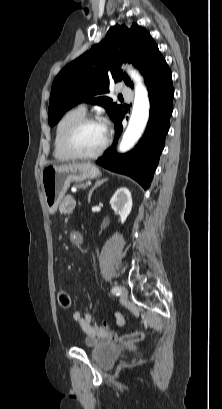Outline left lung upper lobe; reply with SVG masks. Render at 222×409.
Returning <instances> with one entry per match:
<instances>
[{"instance_id":"left-lung-upper-lobe-1","label":"left lung upper lobe","mask_w":222,"mask_h":409,"mask_svg":"<svg viewBox=\"0 0 222 409\" xmlns=\"http://www.w3.org/2000/svg\"><path fill=\"white\" fill-rule=\"evenodd\" d=\"M123 62L132 63L138 68L146 85L168 69L157 44L146 29L137 24L132 27L117 24L109 29L103 41L67 64L56 76L49 101V125H55L67 110L80 102L105 107L115 121L123 108L105 94L109 92L110 80H124L133 87L120 69L119 65Z\"/></svg>"}]
</instances>
